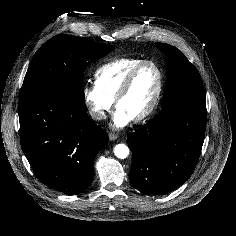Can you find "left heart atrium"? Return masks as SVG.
I'll return each instance as SVG.
<instances>
[{"label": "left heart atrium", "instance_id": "left-heart-atrium-1", "mask_svg": "<svg viewBox=\"0 0 236 236\" xmlns=\"http://www.w3.org/2000/svg\"><path fill=\"white\" fill-rule=\"evenodd\" d=\"M132 117L125 112L123 109L117 107L116 111L112 116V127L115 129H120L127 126L131 121Z\"/></svg>", "mask_w": 236, "mask_h": 236}]
</instances>
